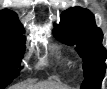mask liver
Wrapping results in <instances>:
<instances>
[{
    "label": "liver",
    "instance_id": "liver-1",
    "mask_svg": "<svg viewBox=\"0 0 107 89\" xmlns=\"http://www.w3.org/2000/svg\"><path fill=\"white\" fill-rule=\"evenodd\" d=\"M13 89H66L62 85H53L50 82H39L35 85L14 86Z\"/></svg>",
    "mask_w": 107,
    "mask_h": 89
}]
</instances>
